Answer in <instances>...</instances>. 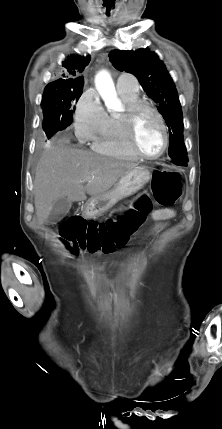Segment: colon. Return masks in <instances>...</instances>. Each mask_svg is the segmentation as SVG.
<instances>
[{"label":"colon","instance_id":"obj_1","mask_svg":"<svg viewBox=\"0 0 222 429\" xmlns=\"http://www.w3.org/2000/svg\"><path fill=\"white\" fill-rule=\"evenodd\" d=\"M155 200L163 206L174 205L181 197V178L177 172L156 170L152 176ZM151 211V202L141 197L135 206L104 222L87 221L80 216L69 217L61 225L63 242L72 251L110 253L125 246L132 234L144 223Z\"/></svg>","mask_w":222,"mask_h":429}]
</instances>
